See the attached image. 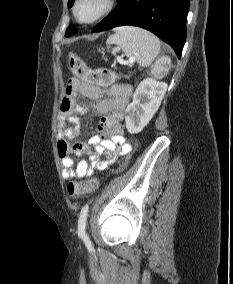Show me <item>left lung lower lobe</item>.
Returning a JSON list of instances; mask_svg holds the SVG:
<instances>
[{
  "instance_id": "obj_1",
  "label": "left lung lower lobe",
  "mask_w": 233,
  "mask_h": 284,
  "mask_svg": "<svg viewBox=\"0 0 233 284\" xmlns=\"http://www.w3.org/2000/svg\"><path fill=\"white\" fill-rule=\"evenodd\" d=\"M189 0H119L92 32L131 25L147 29L169 44L178 58L186 40Z\"/></svg>"
}]
</instances>
